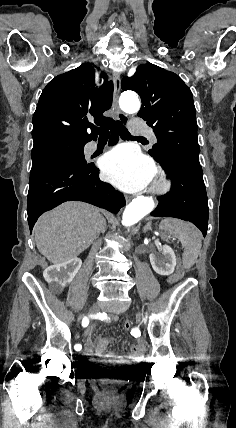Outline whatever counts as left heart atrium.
I'll return each mask as SVG.
<instances>
[{"label": "left heart atrium", "mask_w": 236, "mask_h": 428, "mask_svg": "<svg viewBox=\"0 0 236 428\" xmlns=\"http://www.w3.org/2000/svg\"><path fill=\"white\" fill-rule=\"evenodd\" d=\"M151 163L136 149L119 146L102 160L104 179L127 192L142 191L153 179Z\"/></svg>", "instance_id": "obj_1"}]
</instances>
